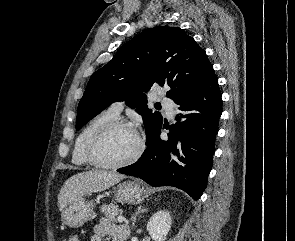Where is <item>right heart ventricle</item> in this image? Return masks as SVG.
I'll list each match as a JSON object with an SVG mask.
<instances>
[{"label":"right heart ventricle","mask_w":295,"mask_h":241,"mask_svg":"<svg viewBox=\"0 0 295 241\" xmlns=\"http://www.w3.org/2000/svg\"><path fill=\"white\" fill-rule=\"evenodd\" d=\"M117 118L118 116L108 109L100 112L87 122L75 140L72 151L73 164L81 167L91 165L86 152L89 140L100 127Z\"/></svg>","instance_id":"1"}]
</instances>
